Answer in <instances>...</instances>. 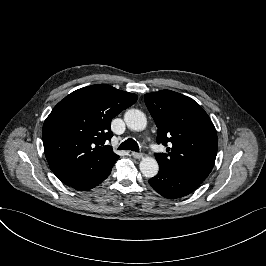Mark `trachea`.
<instances>
[{
    "label": "trachea",
    "instance_id": "3493384b",
    "mask_svg": "<svg viewBox=\"0 0 266 266\" xmlns=\"http://www.w3.org/2000/svg\"><path fill=\"white\" fill-rule=\"evenodd\" d=\"M118 150H131L133 152H139V147L136 141L133 139H128L123 142L119 147Z\"/></svg>",
    "mask_w": 266,
    "mask_h": 266
}]
</instances>
